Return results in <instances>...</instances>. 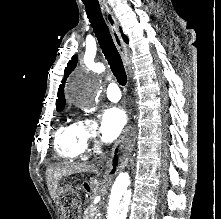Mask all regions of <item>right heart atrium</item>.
Returning <instances> with one entry per match:
<instances>
[{"mask_svg":"<svg viewBox=\"0 0 221 219\" xmlns=\"http://www.w3.org/2000/svg\"><path fill=\"white\" fill-rule=\"evenodd\" d=\"M80 138L85 149L92 144L98 135V126L91 117H82L77 121Z\"/></svg>","mask_w":221,"mask_h":219,"instance_id":"obj_1","label":"right heart atrium"}]
</instances>
